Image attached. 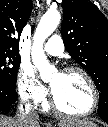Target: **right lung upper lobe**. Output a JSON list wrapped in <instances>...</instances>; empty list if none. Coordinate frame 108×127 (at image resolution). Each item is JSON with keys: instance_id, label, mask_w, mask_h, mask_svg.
I'll use <instances>...</instances> for the list:
<instances>
[{"instance_id": "1", "label": "right lung upper lobe", "mask_w": 108, "mask_h": 127, "mask_svg": "<svg viewBox=\"0 0 108 127\" xmlns=\"http://www.w3.org/2000/svg\"><path fill=\"white\" fill-rule=\"evenodd\" d=\"M32 11L30 0H0V51L15 52Z\"/></svg>"}]
</instances>
